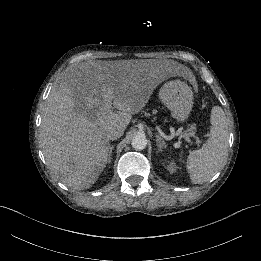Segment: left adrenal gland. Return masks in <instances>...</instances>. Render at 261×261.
Returning <instances> with one entry per match:
<instances>
[{
  "mask_svg": "<svg viewBox=\"0 0 261 261\" xmlns=\"http://www.w3.org/2000/svg\"><path fill=\"white\" fill-rule=\"evenodd\" d=\"M156 139H157V144L159 147V152H162L163 149H166V144L164 143V141L161 139V137L159 135H156Z\"/></svg>",
  "mask_w": 261,
  "mask_h": 261,
  "instance_id": "obj_1",
  "label": "left adrenal gland"
}]
</instances>
